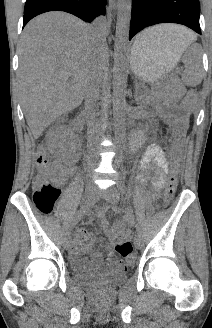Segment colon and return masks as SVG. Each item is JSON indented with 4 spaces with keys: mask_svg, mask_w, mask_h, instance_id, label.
Here are the masks:
<instances>
[{
    "mask_svg": "<svg viewBox=\"0 0 212 328\" xmlns=\"http://www.w3.org/2000/svg\"><path fill=\"white\" fill-rule=\"evenodd\" d=\"M195 100V94L190 92L185 99V105H191ZM182 129L177 132L176 142L182 136ZM173 156L175 163L179 159V150L175 147L173 151ZM36 163V174L33 182V202L38 209L44 215L50 214L55 206V203L60 195V188L49 182L47 179L52 178V169L48 166L47 154L44 148H40L35 157ZM177 187V176L176 171L174 170L168 180L165 194L164 202L166 205H169L173 200L175 191ZM116 252L123 258L128 261L134 260L132 244L128 239L119 240L115 246Z\"/></svg>",
    "mask_w": 212,
    "mask_h": 328,
    "instance_id": "5ec220e1",
    "label": "colon"
}]
</instances>
